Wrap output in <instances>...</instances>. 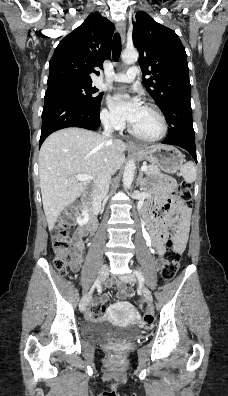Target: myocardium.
Returning <instances> with one entry per match:
<instances>
[{"instance_id": "1", "label": "myocardium", "mask_w": 228, "mask_h": 396, "mask_svg": "<svg viewBox=\"0 0 228 396\" xmlns=\"http://www.w3.org/2000/svg\"><path fill=\"white\" fill-rule=\"evenodd\" d=\"M143 107L146 108V109H149L150 111H152V112L158 117V119H159V121H160V124H161V131H160V133H159L158 135H156V136H153V137H146V136H143V135L139 134V133L134 129V127L131 126V127H130V133H131L135 138H137V139H139V140H141V141H145V142H157V141L162 140V139L166 136V134H167V132H168V124H167V121H166L165 116H164V115L162 114V112H161L155 105H153V104L147 103V104H145Z\"/></svg>"}]
</instances>
